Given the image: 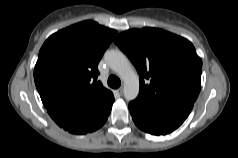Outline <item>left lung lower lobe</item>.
Here are the masks:
<instances>
[{"label": "left lung lower lobe", "mask_w": 238, "mask_h": 158, "mask_svg": "<svg viewBox=\"0 0 238 158\" xmlns=\"http://www.w3.org/2000/svg\"><path fill=\"white\" fill-rule=\"evenodd\" d=\"M194 102L152 106L139 100L129 103L134 123L141 130L153 135H165L177 129L188 117Z\"/></svg>", "instance_id": "obj_1"}]
</instances>
